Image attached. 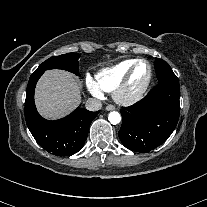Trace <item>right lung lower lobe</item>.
<instances>
[{
  "label": "right lung lower lobe",
  "instance_id": "right-lung-lower-lobe-1",
  "mask_svg": "<svg viewBox=\"0 0 207 207\" xmlns=\"http://www.w3.org/2000/svg\"><path fill=\"white\" fill-rule=\"evenodd\" d=\"M43 73H33L28 82L25 100L27 126L38 144L48 152L57 156L75 154L82 149L90 123L99 111L77 108L70 115L55 121L41 117L35 107L34 90Z\"/></svg>",
  "mask_w": 207,
  "mask_h": 207
}]
</instances>
